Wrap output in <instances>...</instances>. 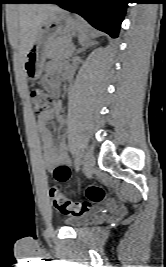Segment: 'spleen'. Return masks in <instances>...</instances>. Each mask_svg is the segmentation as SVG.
Returning a JSON list of instances; mask_svg holds the SVG:
<instances>
[{"mask_svg":"<svg viewBox=\"0 0 166 267\" xmlns=\"http://www.w3.org/2000/svg\"><path fill=\"white\" fill-rule=\"evenodd\" d=\"M78 32H79L78 39H79L80 43H83L87 38V33H88L87 26L85 24H82L80 26Z\"/></svg>","mask_w":166,"mask_h":267,"instance_id":"obj_1","label":"spleen"}]
</instances>
